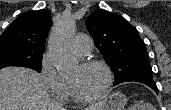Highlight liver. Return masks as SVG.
Returning <instances> with one entry per match:
<instances>
[{"label": "liver", "instance_id": "6515ba94", "mask_svg": "<svg viewBox=\"0 0 171 110\" xmlns=\"http://www.w3.org/2000/svg\"><path fill=\"white\" fill-rule=\"evenodd\" d=\"M101 106L96 104L86 110ZM0 110H64L46 91L45 81L36 71L24 67L0 70Z\"/></svg>", "mask_w": 171, "mask_h": 110}]
</instances>
